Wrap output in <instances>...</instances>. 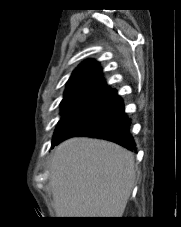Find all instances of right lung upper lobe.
<instances>
[{"instance_id":"obj_1","label":"right lung upper lobe","mask_w":181,"mask_h":227,"mask_svg":"<svg viewBox=\"0 0 181 227\" xmlns=\"http://www.w3.org/2000/svg\"><path fill=\"white\" fill-rule=\"evenodd\" d=\"M114 91L115 89L107 87L99 63L94 60H87L78 66L68 80L64 98Z\"/></svg>"}]
</instances>
